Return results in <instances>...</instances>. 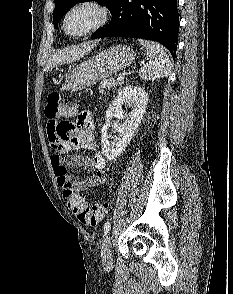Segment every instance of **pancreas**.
Segmentation results:
<instances>
[{
	"label": "pancreas",
	"instance_id": "cf45deb5",
	"mask_svg": "<svg viewBox=\"0 0 233 294\" xmlns=\"http://www.w3.org/2000/svg\"><path fill=\"white\" fill-rule=\"evenodd\" d=\"M122 81H115L114 79H106L99 85V92L104 93L108 89L115 88L116 86L122 85Z\"/></svg>",
	"mask_w": 233,
	"mask_h": 294
}]
</instances>
